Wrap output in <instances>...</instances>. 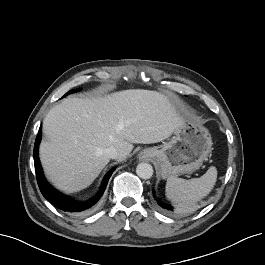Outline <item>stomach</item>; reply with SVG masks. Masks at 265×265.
Listing matches in <instances>:
<instances>
[{
    "label": "stomach",
    "mask_w": 265,
    "mask_h": 265,
    "mask_svg": "<svg viewBox=\"0 0 265 265\" xmlns=\"http://www.w3.org/2000/svg\"><path fill=\"white\" fill-rule=\"evenodd\" d=\"M212 144L207 128L193 119H186L169 141L148 148L147 151L161 176L168 178L199 169L207 160Z\"/></svg>",
    "instance_id": "obj_1"
}]
</instances>
